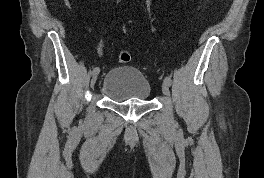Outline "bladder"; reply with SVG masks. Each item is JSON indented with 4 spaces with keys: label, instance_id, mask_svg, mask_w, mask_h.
I'll return each mask as SVG.
<instances>
[{
    "label": "bladder",
    "instance_id": "31cf9c89",
    "mask_svg": "<svg viewBox=\"0 0 264 178\" xmlns=\"http://www.w3.org/2000/svg\"><path fill=\"white\" fill-rule=\"evenodd\" d=\"M100 92L115 102L147 101L151 95V85L139 69L124 66L106 73Z\"/></svg>",
    "mask_w": 264,
    "mask_h": 178
}]
</instances>
